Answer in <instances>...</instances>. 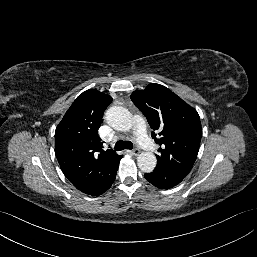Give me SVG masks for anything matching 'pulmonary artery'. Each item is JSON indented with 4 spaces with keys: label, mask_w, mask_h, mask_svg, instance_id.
Returning a JSON list of instances; mask_svg holds the SVG:
<instances>
[{
    "label": "pulmonary artery",
    "mask_w": 257,
    "mask_h": 257,
    "mask_svg": "<svg viewBox=\"0 0 257 257\" xmlns=\"http://www.w3.org/2000/svg\"><path fill=\"white\" fill-rule=\"evenodd\" d=\"M135 123L137 127V135L138 142L142 148L145 150L151 151L154 149L155 144L151 141V139L147 136L145 132V121L142 117L137 116L135 118Z\"/></svg>",
    "instance_id": "obj_1"
}]
</instances>
